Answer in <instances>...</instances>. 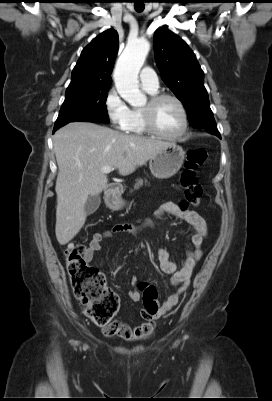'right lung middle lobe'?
Masks as SVG:
<instances>
[{"label":"right lung middle lobe","instance_id":"1","mask_svg":"<svg viewBox=\"0 0 272 401\" xmlns=\"http://www.w3.org/2000/svg\"><path fill=\"white\" fill-rule=\"evenodd\" d=\"M110 86L95 87L65 94V101L54 128L74 121L108 123L106 98Z\"/></svg>","mask_w":272,"mask_h":401}]
</instances>
